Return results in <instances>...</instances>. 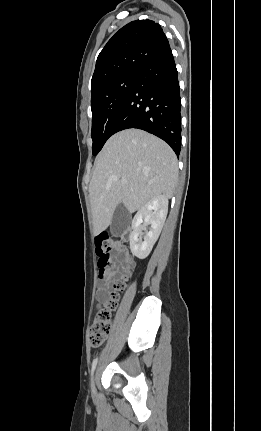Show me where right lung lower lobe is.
Wrapping results in <instances>:
<instances>
[{
    "instance_id": "obj_1",
    "label": "right lung lower lobe",
    "mask_w": 261,
    "mask_h": 431,
    "mask_svg": "<svg viewBox=\"0 0 261 431\" xmlns=\"http://www.w3.org/2000/svg\"><path fill=\"white\" fill-rule=\"evenodd\" d=\"M181 98L170 48L145 65L133 84L112 133L138 128L166 141L179 157Z\"/></svg>"
}]
</instances>
